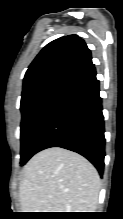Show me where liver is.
Returning a JSON list of instances; mask_svg holds the SVG:
<instances>
[{
	"label": "liver",
	"mask_w": 123,
	"mask_h": 219,
	"mask_svg": "<svg viewBox=\"0 0 123 219\" xmlns=\"http://www.w3.org/2000/svg\"><path fill=\"white\" fill-rule=\"evenodd\" d=\"M101 183L83 156L60 147L45 149L25 165L19 184L23 212H95Z\"/></svg>",
	"instance_id": "liver-1"
}]
</instances>
